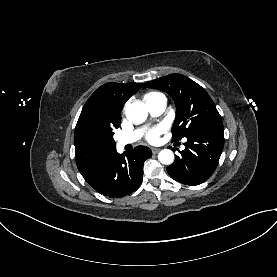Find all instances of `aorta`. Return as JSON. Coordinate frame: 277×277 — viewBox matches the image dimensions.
<instances>
[{"label":"aorta","mask_w":277,"mask_h":277,"mask_svg":"<svg viewBox=\"0 0 277 277\" xmlns=\"http://www.w3.org/2000/svg\"><path fill=\"white\" fill-rule=\"evenodd\" d=\"M147 116L148 111L141 102H134L126 108V117L133 123H142ZM158 159L162 164L170 165L174 161V154L170 149H164L159 152Z\"/></svg>","instance_id":"762f6f07"}]
</instances>
